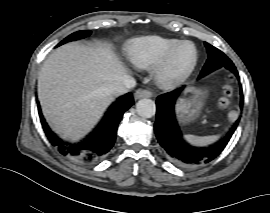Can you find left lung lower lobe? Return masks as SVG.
<instances>
[{"mask_svg": "<svg viewBox=\"0 0 270 213\" xmlns=\"http://www.w3.org/2000/svg\"><path fill=\"white\" fill-rule=\"evenodd\" d=\"M228 69L232 71L239 80L235 66H230ZM182 90L183 88H179L166 94H162L157 98L154 130L158 142L162 146L168 159L179 167L190 168L203 165L216 158L228 144L238 126L239 120L236 121L222 140L208 148H196L188 145L182 138L174 113L176 99ZM240 95V108L242 109L243 94L241 87Z\"/></svg>", "mask_w": 270, "mask_h": 213, "instance_id": "1", "label": "left lung lower lobe"}]
</instances>
